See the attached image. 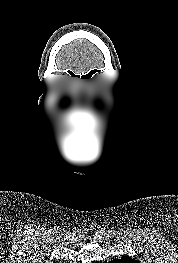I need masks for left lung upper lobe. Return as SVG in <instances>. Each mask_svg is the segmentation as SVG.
I'll use <instances>...</instances> for the list:
<instances>
[{
  "label": "left lung upper lobe",
  "instance_id": "5c2ea615",
  "mask_svg": "<svg viewBox=\"0 0 178 263\" xmlns=\"http://www.w3.org/2000/svg\"><path fill=\"white\" fill-rule=\"evenodd\" d=\"M96 263H106V262H96ZM108 263H140V261L132 259L131 257L125 256L121 259H114L112 261H109Z\"/></svg>",
  "mask_w": 178,
  "mask_h": 263
}]
</instances>
